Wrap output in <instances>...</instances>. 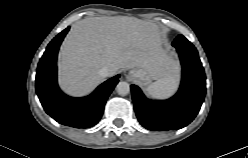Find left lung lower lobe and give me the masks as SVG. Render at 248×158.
Returning a JSON list of instances; mask_svg holds the SVG:
<instances>
[{
  "instance_id": "left-lung-lower-lobe-1",
  "label": "left lung lower lobe",
  "mask_w": 248,
  "mask_h": 158,
  "mask_svg": "<svg viewBox=\"0 0 248 158\" xmlns=\"http://www.w3.org/2000/svg\"><path fill=\"white\" fill-rule=\"evenodd\" d=\"M182 65V81L175 96L166 101L147 99L139 87L131 85L139 122L153 131L176 130L188 125L197 115L205 97V73L196 48L187 40L175 39Z\"/></svg>"
}]
</instances>
